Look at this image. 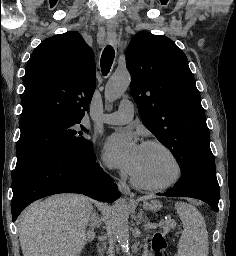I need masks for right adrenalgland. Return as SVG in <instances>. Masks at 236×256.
Returning a JSON list of instances; mask_svg holds the SVG:
<instances>
[{"instance_id": "obj_1", "label": "right adrenal gland", "mask_w": 236, "mask_h": 256, "mask_svg": "<svg viewBox=\"0 0 236 256\" xmlns=\"http://www.w3.org/2000/svg\"><path fill=\"white\" fill-rule=\"evenodd\" d=\"M90 226L89 232H93L95 228H100V218L97 216L95 210H91V216L89 218Z\"/></svg>"}]
</instances>
